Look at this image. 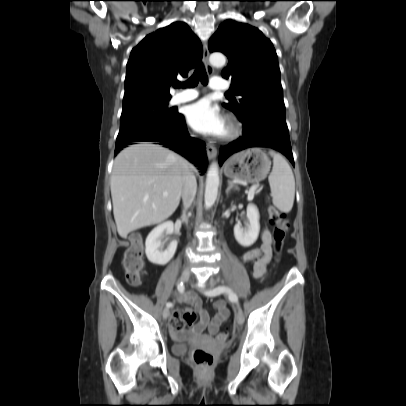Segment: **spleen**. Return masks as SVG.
<instances>
[{"mask_svg": "<svg viewBox=\"0 0 406 406\" xmlns=\"http://www.w3.org/2000/svg\"><path fill=\"white\" fill-rule=\"evenodd\" d=\"M273 168L268 180L272 201L281 212L291 211L295 198V179L287 161L278 153L270 151Z\"/></svg>", "mask_w": 406, "mask_h": 406, "instance_id": "1", "label": "spleen"}]
</instances>
